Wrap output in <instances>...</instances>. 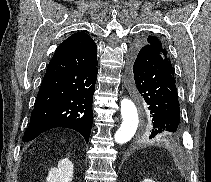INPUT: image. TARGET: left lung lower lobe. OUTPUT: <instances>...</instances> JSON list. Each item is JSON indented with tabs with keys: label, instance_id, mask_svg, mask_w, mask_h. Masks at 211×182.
<instances>
[{
	"label": "left lung lower lobe",
	"instance_id": "1",
	"mask_svg": "<svg viewBox=\"0 0 211 182\" xmlns=\"http://www.w3.org/2000/svg\"><path fill=\"white\" fill-rule=\"evenodd\" d=\"M128 85L148 105L150 129L146 137L176 141L182 133L180 107L174 75L164 57L140 41L132 48Z\"/></svg>",
	"mask_w": 211,
	"mask_h": 182
}]
</instances>
